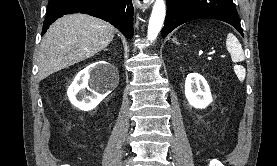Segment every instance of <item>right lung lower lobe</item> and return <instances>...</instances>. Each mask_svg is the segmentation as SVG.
<instances>
[{"label": "right lung lower lobe", "instance_id": "1", "mask_svg": "<svg viewBox=\"0 0 277 166\" xmlns=\"http://www.w3.org/2000/svg\"><path fill=\"white\" fill-rule=\"evenodd\" d=\"M87 13L118 28L125 37H133V5L131 0H49L42 34L64 14Z\"/></svg>", "mask_w": 277, "mask_h": 166}]
</instances>
